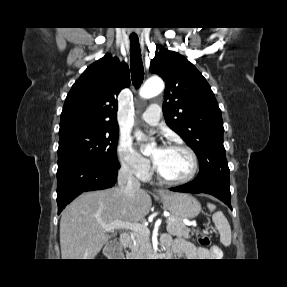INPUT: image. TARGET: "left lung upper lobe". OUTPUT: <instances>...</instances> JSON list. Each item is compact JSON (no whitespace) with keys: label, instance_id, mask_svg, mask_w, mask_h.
I'll return each instance as SVG.
<instances>
[{"label":"left lung upper lobe","instance_id":"1","mask_svg":"<svg viewBox=\"0 0 287 287\" xmlns=\"http://www.w3.org/2000/svg\"><path fill=\"white\" fill-rule=\"evenodd\" d=\"M150 71L160 75L166 84V123L199 159V174L193 181L229 183L221 110L206 79L185 57L164 48L152 59Z\"/></svg>","mask_w":287,"mask_h":287}]
</instances>
